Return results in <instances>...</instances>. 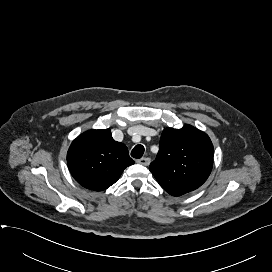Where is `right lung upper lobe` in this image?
<instances>
[{
  "instance_id": "1",
  "label": "right lung upper lobe",
  "mask_w": 272,
  "mask_h": 272,
  "mask_svg": "<svg viewBox=\"0 0 272 272\" xmlns=\"http://www.w3.org/2000/svg\"><path fill=\"white\" fill-rule=\"evenodd\" d=\"M74 179L83 187L102 191L114 184L134 161L125 144L112 138L110 129L88 130L79 135L67 153Z\"/></svg>"
}]
</instances>
